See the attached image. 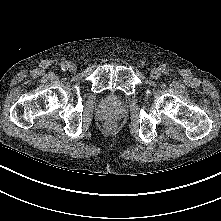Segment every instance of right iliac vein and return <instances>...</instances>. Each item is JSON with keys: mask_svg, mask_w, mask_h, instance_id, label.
Returning <instances> with one entry per match:
<instances>
[{"mask_svg": "<svg viewBox=\"0 0 221 221\" xmlns=\"http://www.w3.org/2000/svg\"><path fill=\"white\" fill-rule=\"evenodd\" d=\"M76 70H77V66H76L75 64L69 65V71H70L71 73H75Z\"/></svg>", "mask_w": 221, "mask_h": 221, "instance_id": "obj_1", "label": "right iliac vein"}]
</instances>
